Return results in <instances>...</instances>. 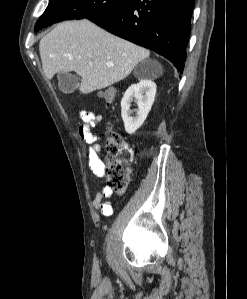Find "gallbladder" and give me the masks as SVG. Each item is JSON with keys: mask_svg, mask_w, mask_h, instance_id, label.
Instances as JSON below:
<instances>
[{"mask_svg": "<svg viewBox=\"0 0 247 299\" xmlns=\"http://www.w3.org/2000/svg\"><path fill=\"white\" fill-rule=\"evenodd\" d=\"M57 79L59 89L65 94L74 92L79 86V77L70 72L59 73Z\"/></svg>", "mask_w": 247, "mask_h": 299, "instance_id": "1", "label": "gallbladder"}]
</instances>
